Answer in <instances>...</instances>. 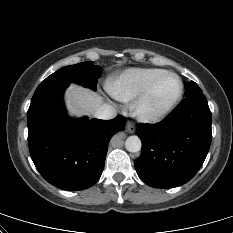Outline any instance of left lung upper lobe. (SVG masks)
Returning <instances> with one entry per match:
<instances>
[{
    "instance_id": "5c2ea615",
    "label": "left lung upper lobe",
    "mask_w": 233,
    "mask_h": 233,
    "mask_svg": "<svg viewBox=\"0 0 233 233\" xmlns=\"http://www.w3.org/2000/svg\"><path fill=\"white\" fill-rule=\"evenodd\" d=\"M203 94L202 90L193 81L185 83V97H191Z\"/></svg>"
}]
</instances>
